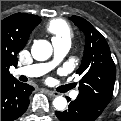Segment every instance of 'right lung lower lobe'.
Here are the masks:
<instances>
[{
  "label": "right lung lower lobe",
  "instance_id": "right-lung-lower-lobe-1",
  "mask_svg": "<svg viewBox=\"0 0 121 121\" xmlns=\"http://www.w3.org/2000/svg\"><path fill=\"white\" fill-rule=\"evenodd\" d=\"M32 86L17 79L1 83V121H12L28 108Z\"/></svg>",
  "mask_w": 121,
  "mask_h": 121
}]
</instances>
